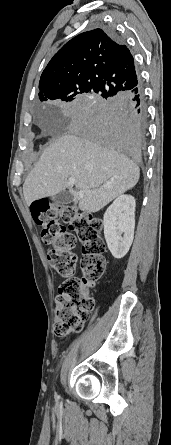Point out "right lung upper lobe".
Instances as JSON below:
<instances>
[{
    "mask_svg": "<svg viewBox=\"0 0 171 445\" xmlns=\"http://www.w3.org/2000/svg\"><path fill=\"white\" fill-rule=\"evenodd\" d=\"M140 85L129 49L112 31L94 29L68 41L50 60L39 82V99L80 93L119 96Z\"/></svg>",
    "mask_w": 171,
    "mask_h": 445,
    "instance_id": "cb5924a9",
    "label": "right lung upper lobe"
}]
</instances>
